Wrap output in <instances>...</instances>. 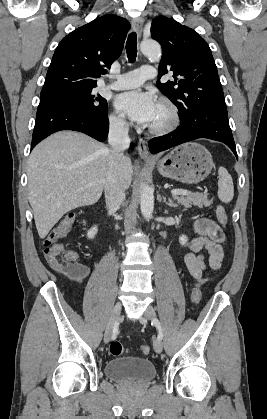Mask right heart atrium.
<instances>
[{
    "mask_svg": "<svg viewBox=\"0 0 267 419\" xmlns=\"http://www.w3.org/2000/svg\"><path fill=\"white\" fill-rule=\"evenodd\" d=\"M110 127L116 132H125L128 129V123L125 118L117 113L113 112L109 116Z\"/></svg>",
    "mask_w": 267,
    "mask_h": 419,
    "instance_id": "1",
    "label": "right heart atrium"
}]
</instances>
